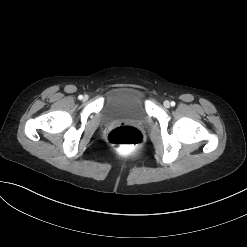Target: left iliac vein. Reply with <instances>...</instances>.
<instances>
[{
    "mask_svg": "<svg viewBox=\"0 0 247 247\" xmlns=\"http://www.w3.org/2000/svg\"><path fill=\"white\" fill-rule=\"evenodd\" d=\"M164 107L169 108L170 107V102L169 101H164Z\"/></svg>",
    "mask_w": 247,
    "mask_h": 247,
    "instance_id": "1",
    "label": "left iliac vein"
}]
</instances>
